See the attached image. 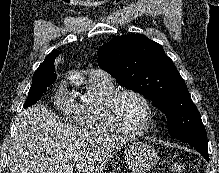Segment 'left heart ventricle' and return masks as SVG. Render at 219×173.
<instances>
[{
  "instance_id": "1",
  "label": "left heart ventricle",
  "mask_w": 219,
  "mask_h": 173,
  "mask_svg": "<svg viewBox=\"0 0 219 173\" xmlns=\"http://www.w3.org/2000/svg\"><path fill=\"white\" fill-rule=\"evenodd\" d=\"M116 113L120 125L129 131L142 129L147 119L144 103L132 95H125L119 100Z\"/></svg>"
}]
</instances>
